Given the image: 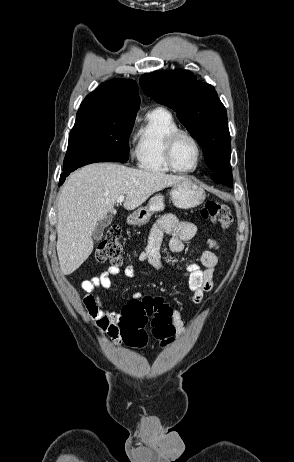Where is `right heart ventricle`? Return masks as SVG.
<instances>
[{
	"label": "right heart ventricle",
	"mask_w": 294,
	"mask_h": 462,
	"mask_svg": "<svg viewBox=\"0 0 294 462\" xmlns=\"http://www.w3.org/2000/svg\"><path fill=\"white\" fill-rule=\"evenodd\" d=\"M177 129L178 124L167 109L156 107L147 112L136 132L137 166L149 173H170L171 169L164 158V147L168 135Z\"/></svg>",
	"instance_id": "right-heart-ventricle-1"
}]
</instances>
